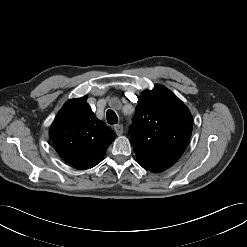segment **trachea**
Instances as JSON below:
<instances>
[{
    "label": "trachea",
    "mask_w": 247,
    "mask_h": 247,
    "mask_svg": "<svg viewBox=\"0 0 247 247\" xmlns=\"http://www.w3.org/2000/svg\"><path fill=\"white\" fill-rule=\"evenodd\" d=\"M106 117H107V122L109 124H117L118 123V117L113 110H107Z\"/></svg>",
    "instance_id": "trachea-1"
}]
</instances>
